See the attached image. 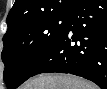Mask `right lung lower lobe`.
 <instances>
[{
    "instance_id": "98d812e1",
    "label": "right lung lower lobe",
    "mask_w": 107,
    "mask_h": 89,
    "mask_svg": "<svg viewBox=\"0 0 107 89\" xmlns=\"http://www.w3.org/2000/svg\"><path fill=\"white\" fill-rule=\"evenodd\" d=\"M69 73L107 87V1L80 0L69 24L35 75Z\"/></svg>"
}]
</instances>
